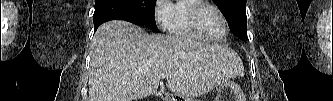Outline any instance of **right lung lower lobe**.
<instances>
[{
  "label": "right lung lower lobe",
  "instance_id": "1",
  "mask_svg": "<svg viewBox=\"0 0 333 101\" xmlns=\"http://www.w3.org/2000/svg\"><path fill=\"white\" fill-rule=\"evenodd\" d=\"M115 19L139 25L133 10L123 0H98L93 15L95 31L102 23Z\"/></svg>",
  "mask_w": 333,
  "mask_h": 101
}]
</instances>
